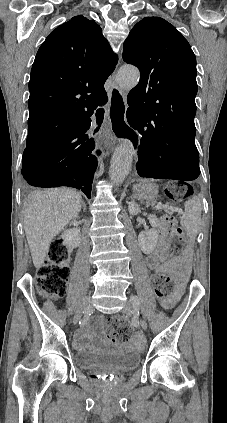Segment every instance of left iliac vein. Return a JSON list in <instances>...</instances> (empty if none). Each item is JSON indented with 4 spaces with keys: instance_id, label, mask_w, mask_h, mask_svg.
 Masks as SVG:
<instances>
[{
    "instance_id": "obj_1",
    "label": "left iliac vein",
    "mask_w": 227,
    "mask_h": 423,
    "mask_svg": "<svg viewBox=\"0 0 227 423\" xmlns=\"http://www.w3.org/2000/svg\"><path fill=\"white\" fill-rule=\"evenodd\" d=\"M135 306H137V304L126 303L125 306L123 307V313L127 315H133L134 320L138 323L139 328L142 331H146L147 322L143 318H141L139 314H137L136 312L132 313V310H134Z\"/></svg>"
}]
</instances>
